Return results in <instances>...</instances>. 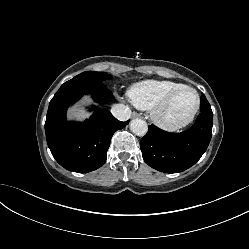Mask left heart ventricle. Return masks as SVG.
Segmentation results:
<instances>
[{
	"label": "left heart ventricle",
	"instance_id": "b2bd125f",
	"mask_svg": "<svg viewBox=\"0 0 249 249\" xmlns=\"http://www.w3.org/2000/svg\"><path fill=\"white\" fill-rule=\"evenodd\" d=\"M194 104V93L189 90H183L174 97L171 104L164 112V117L169 121L181 120L192 111Z\"/></svg>",
	"mask_w": 249,
	"mask_h": 249
}]
</instances>
